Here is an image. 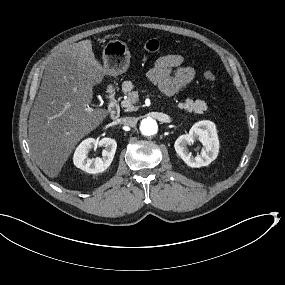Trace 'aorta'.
<instances>
[{
    "instance_id": "762f6f07",
    "label": "aorta",
    "mask_w": 285,
    "mask_h": 285,
    "mask_svg": "<svg viewBox=\"0 0 285 285\" xmlns=\"http://www.w3.org/2000/svg\"><path fill=\"white\" fill-rule=\"evenodd\" d=\"M140 131L144 136H152L158 132V125L153 119H144L141 122Z\"/></svg>"
}]
</instances>
